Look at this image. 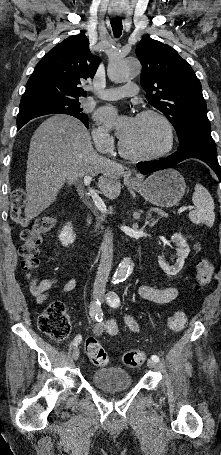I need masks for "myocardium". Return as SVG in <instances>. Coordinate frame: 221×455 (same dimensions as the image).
<instances>
[{
    "label": "myocardium",
    "mask_w": 221,
    "mask_h": 455,
    "mask_svg": "<svg viewBox=\"0 0 221 455\" xmlns=\"http://www.w3.org/2000/svg\"><path fill=\"white\" fill-rule=\"evenodd\" d=\"M144 117H153L157 119L163 126L166 135V142L163 147L158 150L152 152H145V153H138L133 152L127 149L122 140L119 141L118 147L119 152L126 158L136 160V161H143V160H153L160 158L167 153H169L173 146H174V129L170 120L161 112L154 110V109H145L138 113L137 118H144Z\"/></svg>",
    "instance_id": "1"
}]
</instances>
